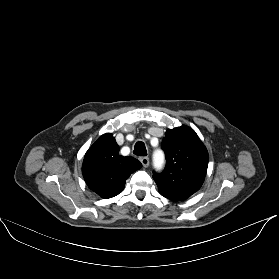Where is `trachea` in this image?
<instances>
[{
	"label": "trachea",
	"instance_id": "trachea-1",
	"mask_svg": "<svg viewBox=\"0 0 279 279\" xmlns=\"http://www.w3.org/2000/svg\"><path fill=\"white\" fill-rule=\"evenodd\" d=\"M133 153L137 156H146L147 155V151H146V147L145 144L142 141H138L135 144Z\"/></svg>",
	"mask_w": 279,
	"mask_h": 279
}]
</instances>
